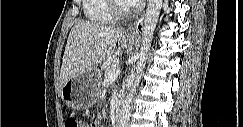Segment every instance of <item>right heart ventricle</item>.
I'll return each mask as SVG.
<instances>
[{
    "instance_id": "right-heart-ventricle-1",
    "label": "right heart ventricle",
    "mask_w": 243,
    "mask_h": 127,
    "mask_svg": "<svg viewBox=\"0 0 243 127\" xmlns=\"http://www.w3.org/2000/svg\"><path fill=\"white\" fill-rule=\"evenodd\" d=\"M111 0H84L83 13L92 24H108L116 20L110 9Z\"/></svg>"
}]
</instances>
